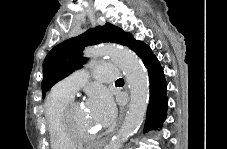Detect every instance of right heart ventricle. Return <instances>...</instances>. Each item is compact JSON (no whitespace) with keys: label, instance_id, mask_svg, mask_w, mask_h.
Masks as SVG:
<instances>
[{"label":"right heart ventricle","instance_id":"e07e8e85","mask_svg":"<svg viewBox=\"0 0 227 149\" xmlns=\"http://www.w3.org/2000/svg\"><path fill=\"white\" fill-rule=\"evenodd\" d=\"M72 97L55 89L48 95L44 104V114L52 149H70L77 145L64 132L62 112Z\"/></svg>","mask_w":227,"mask_h":149}]
</instances>
